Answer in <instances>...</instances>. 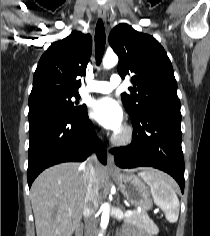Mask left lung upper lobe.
Returning a JSON list of instances; mask_svg holds the SVG:
<instances>
[{"label":"left lung upper lobe","mask_w":210,"mask_h":236,"mask_svg":"<svg viewBox=\"0 0 210 236\" xmlns=\"http://www.w3.org/2000/svg\"><path fill=\"white\" fill-rule=\"evenodd\" d=\"M109 43L119 57L120 76L132 73L133 87L121 95L132 119L153 108L180 110L172 64L153 36L120 24L111 31Z\"/></svg>","instance_id":"1"}]
</instances>
